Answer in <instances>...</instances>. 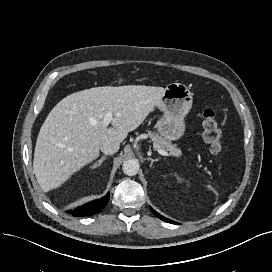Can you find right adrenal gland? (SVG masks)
<instances>
[{"label":"right adrenal gland","mask_w":272,"mask_h":272,"mask_svg":"<svg viewBox=\"0 0 272 272\" xmlns=\"http://www.w3.org/2000/svg\"><path fill=\"white\" fill-rule=\"evenodd\" d=\"M106 158L107 156H102L93 166H91V168L95 169L99 167Z\"/></svg>","instance_id":"2a0ac1e0"}]
</instances>
